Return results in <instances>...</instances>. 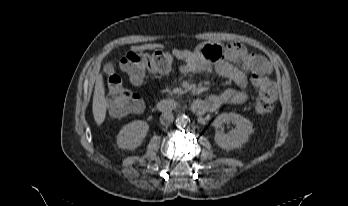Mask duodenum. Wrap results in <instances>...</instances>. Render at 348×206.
<instances>
[{
  "label": "duodenum",
  "mask_w": 348,
  "mask_h": 206,
  "mask_svg": "<svg viewBox=\"0 0 348 206\" xmlns=\"http://www.w3.org/2000/svg\"><path fill=\"white\" fill-rule=\"evenodd\" d=\"M211 105L212 102L210 99H194L191 108L195 115H202L210 111ZM176 107V103L168 99L159 101L155 106L156 110L160 113H171L176 109Z\"/></svg>",
  "instance_id": "410a0bca"
}]
</instances>
